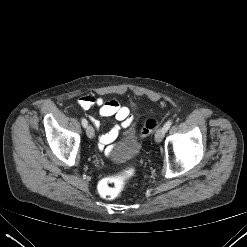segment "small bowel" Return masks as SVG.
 <instances>
[{
  "mask_svg": "<svg viewBox=\"0 0 247 247\" xmlns=\"http://www.w3.org/2000/svg\"><path fill=\"white\" fill-rule=\"evenodd\" d=\"M78 106L83 110L96 108L99 117H114L120 122L112 127L107 133L101 134L98 138L99 149L104 150L105 146L112 143L118 136L120 127H127L132 122L129 109L116 100H105L102 97L84 96L77 101ZM96 128L100 127V120L94 116L89 117Z\"/></svg>",
  "mask_w": 247,
  "mask_h": 247,
  "instance_id": "small-bowel-1",
  "label": "small bowel"
}]
</instances>
